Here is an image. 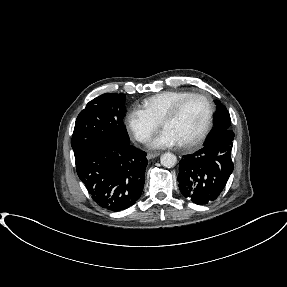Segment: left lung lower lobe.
Listing matches in <instances>:
<instances>
[{"mask_svg":"<svg viewBox=\"0 0 287 287\" xmlns=\"http://www.w3.org/2000/svg\"><path fill=\"white\" fill-rule=\"evenodd\" d=\"M234 133L226 130L205 142L202 149L183 156L179 163V189L195 204L214 201L233 171L231 160Z\"/></svg>","mask_w":287,"mask_h":287,"instance_id":"0a47b994","label":"left lung lower lobe"}]
</instances>
